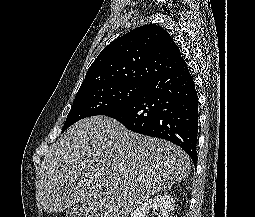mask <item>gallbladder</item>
I'll return each instance as SVG.
<instances>
[{
    "instance_id": "gallbladder-1",
    "label": "gallbladder",
    "mask_w": 255,
    "mask_h": 217,
    "mask_svg": "<svg viewBox=\"0 0 255 217\" xmlns=\"http://www.w3.org/2000/svg\"><path fill=\"white\" fill-rule=\"evenodd\" d=\"M66 217H91L87 204H76L67 208Z\"/></svg>"
}]
</instances>
